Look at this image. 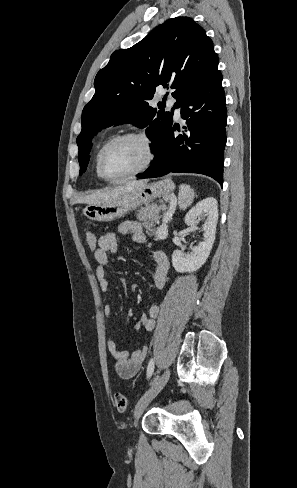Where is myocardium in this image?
Returning <instances> with one entry per match:
<instances>
[{"mask_svg": "<svg viewBox=\"0 0 297 488\" xmlns=\"http://www.w3.org/2000/svg\"><path fill=\"white\" fill-rule=\"evenodd\" d=\"M128 139H138L144 143V145L146 147V152H147V156H146L145 161L138 168H136L135 170H133L131 172H128L126 174L116 176V177L108 176L107 173L105 172V168H104V160H105L106 154L108 153V151L113 146H115L116 144H118L124 140H128ZM155 157H156V149H155L154 142L152 141V139L147 134H145L144 132H140V131L125 132L123 134L116 135L114 138H112L103 147V149L100 153L99 159H98V169H99L101 177L104 180L110 181V182H116V181H120V180H124L127 178L134 177V176L146 171L154 162Z\"/></svg>", "mask_w": 297, "mask_h": 488, "instance_id": "myocardium-1", "label": "myocardium"}]
</instances>
